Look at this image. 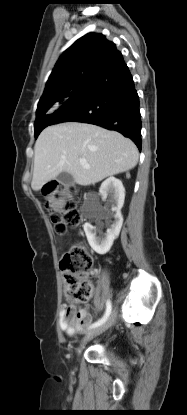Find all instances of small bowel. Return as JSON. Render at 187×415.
Masks as SVG:
<instances>
[{"label": "small bowel", "mask_w": 187, "mask_h": 415, "mask_svg": "<svg viewBox=\"0 0 187 415\" xmlns=\"http://www.w3.org/2000/svg\"><path fill=\"white\" fill-rule=\"evenodd\" d=\"M61 329L69 336L81 333L92 322V316L88 309L75 310L72 307H63L61 312Z\"/></svg>", "instance_id": "obj_1"}]
</instances>
